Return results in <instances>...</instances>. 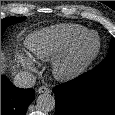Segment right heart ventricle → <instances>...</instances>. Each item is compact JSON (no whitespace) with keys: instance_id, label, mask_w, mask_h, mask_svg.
<instances>
[{"instance_id":"right-heart-ventricle-1","label":"right heart ventricle","mask_w":115,"mask_h":115,"mask_svg":"<svg viewBox=\"0 0 115 115\" xmlns=\"http://www.w3.org/2000/svg\"><path fill=\"white\" fill-rule=\"evenodd\" d=\"M88 29L79 24H58L31 33L26 46L35 60L50 61L63 54Z\"/></svg>"}]
</instances>
